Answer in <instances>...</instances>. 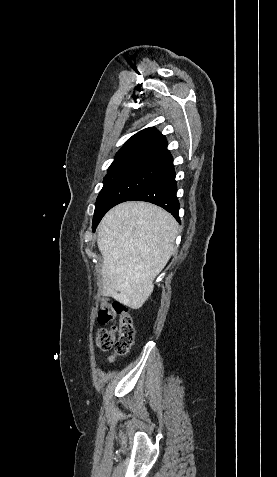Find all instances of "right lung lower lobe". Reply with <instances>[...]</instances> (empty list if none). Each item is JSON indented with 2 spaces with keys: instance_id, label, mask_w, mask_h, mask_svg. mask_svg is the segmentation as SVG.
<instances>
[{
  "instance_id": "right-lung-lower-lobe-1",
  "label": "right lung lower lobe",
  "mask_w": 277,
  "mask_h": 477,
  "mask_svg": "<svg viewBox=\"0 0 277 477\" xmlns=\"http://www.w3.org/2000/svg\"><path fill=\"white\" fill-rule=\"evenodd\" d=\"M173 160L163 166L158 174L129 201H147L170 212L179 221V201Z\"/></svg>"
}]
</instances>
